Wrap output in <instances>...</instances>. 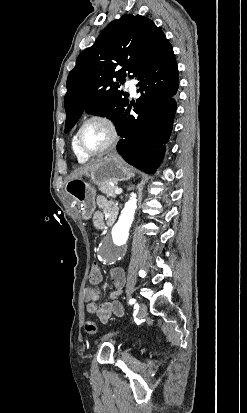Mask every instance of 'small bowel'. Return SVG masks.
I'll return each mask as SVG.
<instances>
[{
  "label": "small bowel",
  "mask_w": 247,
  "mask_h": 413,
  "mask_svg": "<svg viewBox=\"0 0 247 413\" xmlns=\"http://www.w3.org/2000/svg\"><path fill=\"white\" fill-rule=\"evenodd\" d=\"M97 205L99 210L95 212L93 217V223L97 229L103 228L105 221L109 224L116 221L118 216V206L116 203L108 200L105 196L100 195L97 198ZM110 277L114 287V291L111 294V300L98 305V301L101 298L100 291L98 289L84 290V299L88 302L87 312L90 315L97 316L103 323H107L112 315H115L118 319L122 318L124 315V308L118 300L125 284V274L123 269L115 267L111 270Z\"/></svg>",
  "instance_id": "c3829d8e"
}]
</instances>
